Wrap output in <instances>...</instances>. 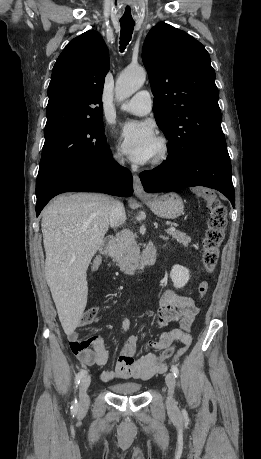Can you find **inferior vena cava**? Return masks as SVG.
<instances>
[{
  "label": "inferior vena cava",
  "mask_w": 261,
  "mask_h": 459,
  "mask_svg": "<svg viewBox=\"0 0 261 459\" xmlns=\"http://www.w3.org/2000/svg\"><path fill=\"white\" fill-rule=\"evenodd\" d=\"M126 221V214L123 203L114 201L110 210V225L117 227Z\"/></svg>",
  "instance_id": "1"
}]
</instances>
